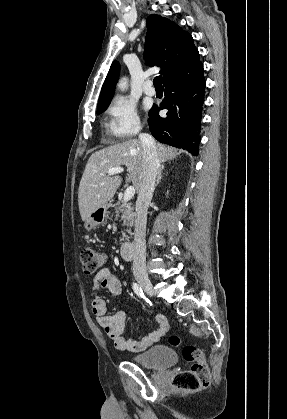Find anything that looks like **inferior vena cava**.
I'll return each instance as SVG.
<instances>
[{
  "label": "inferior vena cava",
  "mask_w": 287,
  "mask_h": 419,
  "mask_svg": "<svg viewBox=\"0 0 287 419\" xmlns=\"http://www.w3.org/2000/svg\"><path fill=\"white\" fill-rule=\"evenodd\" d=\"M139 140L141 141L143 147V173L142 182L136 201L134 257L132 270L135 277H146L147 270L145 233L147 211L153 197L160 161L153 137L146 133H140Z\"/></svg>",
  "instance_id": "602c4592"
}]
</instances>
